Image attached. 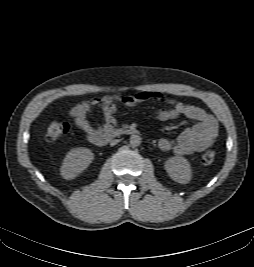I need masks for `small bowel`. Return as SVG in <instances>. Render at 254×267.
<instances>
[{"label":"small bowel","instance_id":"small-bowel-1","mask_svg":"<svg viewBox=\"0 0 254 267\" xmlns=\"http://www.w3.org/2000/svg\"><path fill=\"white\" fill-rule=\"evenodd\" d=\"M150 99L165 100V97L160 92L152 91H141L121 98L114 95H106L102 98L79 102L71 109L70 114L74 118L76 125L91 136L114 128L116 125L117 100H121L126 107L132 108ZM166 101L170 107L158 112L159 120L169 121L184 116L196 121V124L182 131L174 141L165 138L160 139V149L172 151L177 155H190L202 152L210 147L218 132L216 119L200 107L171 99ZM94 107H98L103 114L104 124L102 127H94L87 118Z\"/></svg>","mask_w":254,"mask_h":267}]
</instances>
